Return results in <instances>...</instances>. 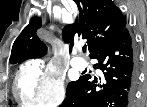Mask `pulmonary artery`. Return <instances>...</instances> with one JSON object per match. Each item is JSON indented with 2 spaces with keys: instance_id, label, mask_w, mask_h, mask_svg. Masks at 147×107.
Returning a JSON list of instances; mask_svg holds the SVG:
<instances>
[{
  "instance_id": "pulmonary-artery-1",
  "label": "pulmonary artery",
  "mask_w": 147,
  "mask_h": 107,
  "mask_svg": "<svg viewBox=\"0 0 147 107\" xmlns=\"http://www.w3.org/2000/svg\"><path fill=\"white\" fill-rule=\"evenodd\" d=\"M71 64L74 68L76 69H84L86 67V62L83 58L81 57H75L72 59Z\"/></svg>"
}]
</instances>
